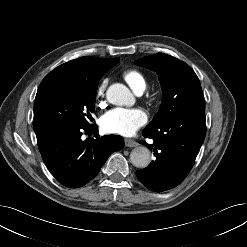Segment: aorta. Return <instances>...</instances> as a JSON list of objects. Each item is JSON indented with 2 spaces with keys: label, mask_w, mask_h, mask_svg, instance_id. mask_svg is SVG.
Returning a JSON list of instances; mask_svg holds the SVG:
<instances>
[{
  "label": "aorta",
  "mask_w": 247,
  "mask_h": 247,
  "mask_svg": "<svg viewBox=\"0 0 247 247\" xmlns=\"http://www.w3.org/2000/svg\"><path fill=\"white\" fill-rule=\"evenodd\" d=\"M107 100L114 105H132L134 97L130 90L123 84H112L106 92ZM131 163L137 168H145L151 161V153L148 148L139 146L134 148L130 154Z\"/></svg>",
  "instance_id": "762f6f07"
}]
</instances>
